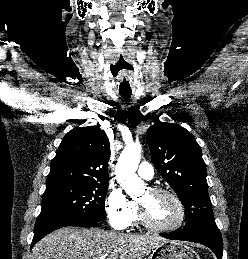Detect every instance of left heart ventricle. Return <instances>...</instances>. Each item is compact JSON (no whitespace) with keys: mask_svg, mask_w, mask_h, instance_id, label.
I'll return each instance as SVG.
<instances>
[{"mask_svg":"<svg viewBox=\"0 0 248 259\" xmlns=\"http://www.w3.org/2000/svg\"><path fill=\"white\" fill-rule=\"evenodd\" d=\"M144 206L150 221L160 227H169L177 223L179 208L176 202L166 194H153L148 190L138 199Z\"/></svg>","mask_w":248,"mask_h":259,"instance_id":"b2bd125f","label":"left heart ventricle"}]
</instances>
